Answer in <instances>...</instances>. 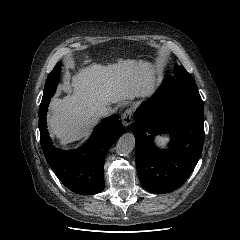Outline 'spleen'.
Here are the masks:
<instances>
[{"mask_svg": "<svg viewBox=\"0 0 240 240\" xmlns=\"http://www.w3.org/2000/svg\"><path fill=\"white\" fill-rule=\"evenodd\" d=\"M159 141H160L161 143H163L165 140L161 138Z\"/></svg>", "mask_w": 240, "mask_h": 240, "instance_id": "spleen-1", "label": "spleen"}]
</instances>
